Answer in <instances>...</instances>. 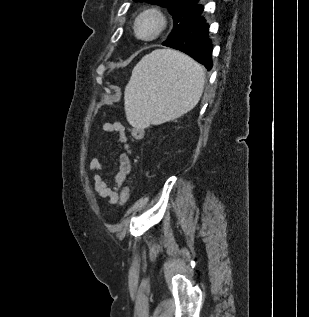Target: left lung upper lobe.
Returning <instances> with one entry per match:
<instances>
[{
  "label": "left lung upper lobe",
  "mask_w": 309,
  "mask_h": 317,
  "mask_svg": "<svg viewBox=\"0 0 309 317\" xmlns=\"http://www.w3.org/2000/svg\"><path fill=\"white\" fill-rule=\"evenodd\" d=\"M135 2H147L154 5L167 8L170 14L173 16L174 26L169 34V37L180 32L185 28L192 15L202 5L197 4V0H134Z\"/></svg>",
  "instance_id": "left-lung-upper-lobe-1"
}]
</instances>
